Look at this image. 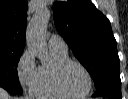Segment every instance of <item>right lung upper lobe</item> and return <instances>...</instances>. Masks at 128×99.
Instances as JSON below:
<instances>
[{
  "instance_id": "1",
  "label": "right lung upper lobe",
  "mask_w": 128,
  "mask_h": 99,
  "mask_svg": "<svg viewBox=\"0 0 128 99\" xmlns=\"http://www.w3.org/2000/svg\"><path fill=\"white\" fill-rule=\"evenodd\" d=\"M27 6L26 0H0V49H24Z\"/></svg>"
}]
</instances>
